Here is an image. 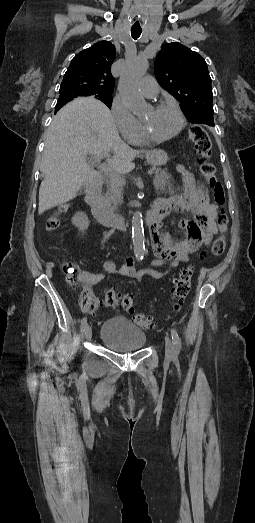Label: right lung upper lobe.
<instances>
[{"instance_id":"1","label":"right lung upper lobe","mask_w":255,"mask_h":523,"mask_svg":"<svg viewBox=\"0 0 255 523\" xmlns=\"http://www.w3.org/2000/svg\"><path fill=\"white\" fill-rule=\"evenodd\" d=\"M116 57V49L109 41H100L78 53L67 69L59 92L80 95H111L114 90V78L111 65ZM65 101H58L55 113L63 107Z\"/></svg>"}]
</instances>
